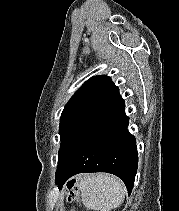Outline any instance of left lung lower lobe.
<instances>
[{"mask_svg": "<svg viewBox=\"0 0 179 211\" xmlns=\"http://www.w3.org/2000/svg\"><path fill=\"white\" fill-rule=\"evenodd\" d=\"M125 102L119 95L97 118L79 150L55 181L59 189L73 175L107 172L121 178L130 195L138 167L136 140L128 130Z\"/></svg>", "mask_w": 179, "mask_h": 211, "instance_id": "obj_1", "label": "left lung lower lobe"}]
</instances>
